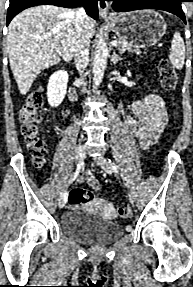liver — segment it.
I'll list each match as a JSON object with an SVG mask.
<instances>
[{"mask_svg": "<svg viewBox=\"0 0 193 287\" xmlns=\"http://www.w3.org/2000/svg\"><path fill=\"white\" fill-rule=\"evenodd\" d=\"M77 25L74 11L53 5L31 7L10 23L7 50L10 67L20 93L25 95L37 75L74 55ZM89 35L95 23L89 21ZM55 45V47H52Z\"/></svg>", "mask_w": 193, "mask_h": 287, "instance_id": "liver-1", "label": "liver"}]
</instances>
